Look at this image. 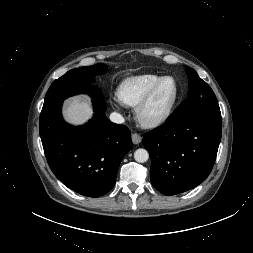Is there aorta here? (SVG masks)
<instances>
[{
	"mask_svg": "<svg viewBox=\"0 0 253 253\" xmlns=\"http://www.w3.org/2000/svg\"><path fill=\"white\" fill-rule=\"evenodd\" d=\"M134 159L139 163H144L149 159V153L146 149H137L134 152Z\"/></svg>",
	"mask_w": 253,
	"mask_h": 253,
	"instance_id": "obj_1",
	"label": "aorta"
}]
</instances>
